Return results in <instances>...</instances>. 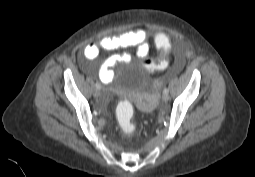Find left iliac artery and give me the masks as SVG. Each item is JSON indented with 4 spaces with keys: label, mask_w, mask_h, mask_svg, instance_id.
I'll list each match as a JSON object with an SVG mask.
<instances>
[{
    "label": "left iliac artery",
    "mask_w": 255,
    "mask_h": 177,
    "mask_svg": "<svg viewBox=\"0 0 255 177\" xmlns=\"http://www.w3.org/2000/svg\"><path fill=\"white\" fill-rule=\"evenodd\" d=\"M169 92V90L167 89V88H165L164 90H163V93H168Z\"/></svg>",
    "instance_id": "left-iliac-artery-1"
}]
</instances>
